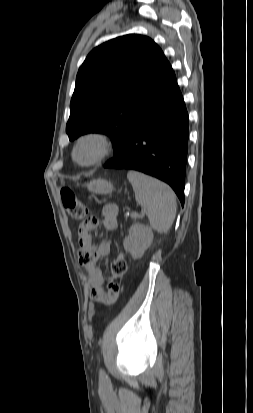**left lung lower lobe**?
I'll list each match as a JSON object with an SVG mask.
<instances>
[{
    "label": "left lung lower lobe",
    "instance_id": "obj_1",
    "mask_svg": "<svg viewBox=\"0 0 253 413\" xmlns=\"http://www.w3.org/2000/svg\"><path fill=\"white\" fill-rule=\"evenodd\" d=\"M189 121L171 65L129 121L105 168L133 169L168 183L184 205Z\"/></svg>",
    "mask_w": 253,
    "mask_h": 413
}]
</instances>
